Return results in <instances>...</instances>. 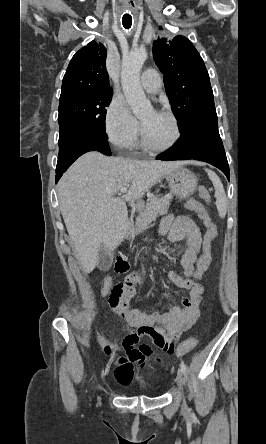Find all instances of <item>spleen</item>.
<instances>
[{
    "mask_svg": "<svg viewBox=\"0 0 266 444\" xmlns=\"http://www.w3.org/2000/svg\"><path fill=\"white\" fill-rule=\"evenodd\" d=\"M206 171L215 188L216 206L219 212V216L221 218H224L227 210V197L223 184L215 172L208 169Z\"/></svg>",
    "mask_w": 266,
    "mask_h": 444,
    "instance_id": "obj_1",
    "label": "spleen"
}]
</instances>
